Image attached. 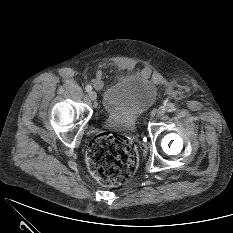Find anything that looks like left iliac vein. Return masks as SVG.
Segmentation results:
<instances>
[{
  "label": "left iliac vein",
  "mask_w": 233,
  "mask_h": 233,
  "mask_svg": "<svg viewBox=\"0 0 233 233\" xmlns=\"http://www.w3.org/2000/svg\"><path fill=\"white\" fill-rule=\"evenodd\" d=\"M165 112H166L165 107H159L156 111V116L161 117L165 114Z\"/></svg>",
  "instance_id": "obj_1"
}]
</instances>
